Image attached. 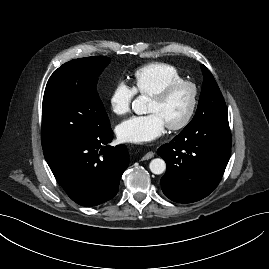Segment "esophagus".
<instances>
[{"mask_svg":"<svg viewBox=\"0 0 269 269\" xmlns=\"http://www.w3.org/2000/svg\"><path fill=\"white\" fill-rule=\"evenodd\" d=\"M153 156H154L153 152H148L142 157V159L143 160H148V159H151Z\"/></svg>","mask_w":269,"mask_h":269,"instance_id":"obj_1","label":"esophagus"}]
</instances>
